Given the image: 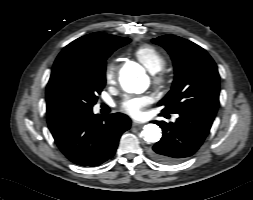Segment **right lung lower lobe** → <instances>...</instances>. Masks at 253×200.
<instances>
[{
  "label": "right lung lower lobe",
  "mask_w": 253,
  "mask_h": 200,
  "mask_svg": "<svg viewBox=\"0 0 253 200\" xmlns=\"http://www.w3.org/2000/svg\"><path fill=\"white\" fill-rule=\"evenodd\" d=\"M48 127L62 153L81 166H98L110 159L131 120L121 113L106 118L92 111L48 116Z\"/></svg>",
  "instance_id": "obj_1"
}]
</instances>
